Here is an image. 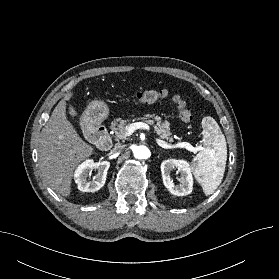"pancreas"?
Instances as JSON below:
<instances>
[{"instance_id": "obj_1", "label": "pancreas", "mask_w": 279, "mask_h": 279, "mask_svg": "<svg viewBox=\"0 0 279 279\" xmlns=\"http://www.w3.org/2000/svg\"><path fill=\"white\" fill-rule=\"evenodd\" d=\"M143 120L150 125H153L156 133L167 141L172 142L173 138L171 137L170 127L168 122H162L161 118L156 115H146ZM126 126H128V120H124L121 118H116L111 123V130L115 135L116 140H124L127 139L126 136Z\"/></svg>"}]
</instances>
